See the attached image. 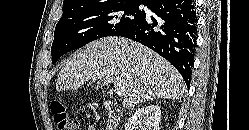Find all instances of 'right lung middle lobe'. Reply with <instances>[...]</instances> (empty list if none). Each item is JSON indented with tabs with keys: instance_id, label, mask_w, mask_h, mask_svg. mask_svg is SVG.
<instances>
[{
	"instance_id": "1",
	"label": "right lung middle lobe",
	"mask_w": 249,
	"mask_h": 130,
	"mask_svg": "<svg viewBox=\"0 0 249 130\" xmlns=\"http://www.w3.org/2000/svg\"><path fill=\"white\" fill-rule=\"evenodd\" d=\"M149 4L134 0H113L94 4L62 14L55 27L52 63L65 53L83 47L91 41L120 33L146 17L139 6Z\"/></svg>"
}]
</instances>
